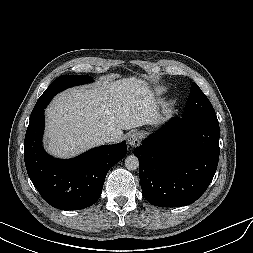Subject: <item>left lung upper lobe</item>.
<instances>
[{
	"mask_svg": "<svg viewBox=\"0 0 253 253\" xmlns=\"http://www.w3.org/2000/svg\"><path fill=\"white\" fill-rule=\"evenodd\" d=\"M216 115L212 104L199 86L193 82L183 116Z\"/></svg>",
	"mask_w": 253,
	"mask_h": 253,
	"instance_id": "obj_1",
	"label": "left lung upper lobe"
}]
</instances>
